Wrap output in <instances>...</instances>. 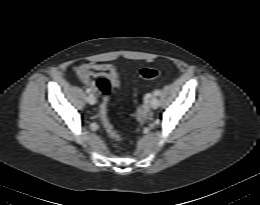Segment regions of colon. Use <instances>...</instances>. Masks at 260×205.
<instances>
[{"label": "colon", "instance_id": "1", "mask_svg": "<svg viewBox=\"0 0 260 205\" xmlns=\"http://www.w3.org/2000/svg\"><path fill=\"white\" fill-rule=\"evenodd\" d=\"M140 77L144 80H154L161 77L160 70L156 68H143L140 70ZM96 87L98 91L102 94L103 99L100 104V116L102 125L107 132V134L115 141H120V137L116 130L114 129L113 125L110 122L108 116V94L110 93L111 89L113 88V82L109 77L100 76L96 81Z\"/></svg>", "mask_w": 260, "mask_h": 205}]
</instances>
